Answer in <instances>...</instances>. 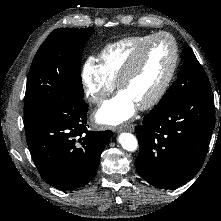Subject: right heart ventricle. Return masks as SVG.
I'll return each mask as SVG.
<instances>
[{"mask_svg":"<svg viewBox=\"0 0 221 221\" xmlns=\"http://www.w3.org/2000/svg\"><path fill=\"white\" fill-rule=\"evenodd\" d=\"M152 34L131 36L106 45L99 54L100 66L107 77L117 82L127 62Z\"/></svg>","mask_w":221,"mask_h":221,"instance_id":"right-heart-ventricle-1","label":"right heart ventricle"}]
</instances>
